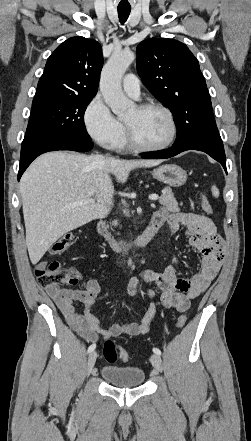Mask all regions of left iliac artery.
<instances>
[{
  "label": "left iliac artery",
  "mask_w": 251,
  "mask_h": 441,
  "mask_svg": "<svg viewBox=\"0 0 251 441\" xmlns=\"http://www.w3.org/2000/svg\"><path fill=\"white\" fill-rule=\"evenodd\" d=\"M153 352L157 355H161V351L158 348H153Z\"/></svg>",
  "instance_id": "obj_1"
}]
</instances>
